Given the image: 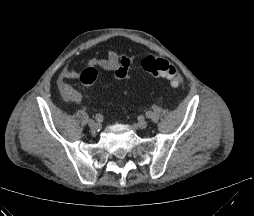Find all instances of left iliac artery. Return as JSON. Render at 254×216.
I'll return each mask as SVG.
<instances>
[{"label": "left iliac artery", "mask_w": 254, "mask_h": 216, "mask_svg": "<svg viewBox=\"0 0 254 216\" xmlns=\"http://www.w3.org/2000/svg\"><path fill=\"white\" fill-rule=\"evenodd\" d=\"M145 116H146V118H148V119H152V118L154 117V114H153L152 111H147V112L145 113Z\"/></svg>", "instance_id": "44dca946"}]
</instances>
